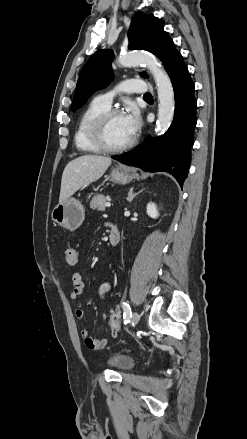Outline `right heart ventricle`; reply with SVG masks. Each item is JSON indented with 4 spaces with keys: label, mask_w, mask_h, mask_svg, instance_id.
<instances>
[{
    "label": "right heart ventricle",
    "mask_w": 247,
    "mask_h": 439,
    "mask_svg": "<svg viewBox=\"0 0 247 439\" xmlns=\"http://www.w3.org/2000/svg\"><path fill=\"white\" fill-rule=\"evenodd\" d=\"M107 110H109V107L95 99L82 112L74 133V143L79 151L85 153L101 152V150L93 143L90 132L94 120Z\"/></svg>",
    "instance_id": "1"
}]
</instances>
